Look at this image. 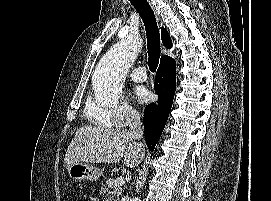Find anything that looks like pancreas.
<instances>
[{
  "instance_id": "pancreas-1",
  "label": "pancreas",
  "mask_w": 271,
  "mask_h": 201,
  "mask_svg": "<svg viewBox=\"0 0 271 201\" xmlns=\"http://www.w3.org/2000/svg\"><path fill=\"white\" fill-rule=\"evenodd\" d=\"M122 194L121 185L115 186L113 179L106 180V184H102L100 195L104 197V201H117Z\"/></svg>"
}]
</instances>
